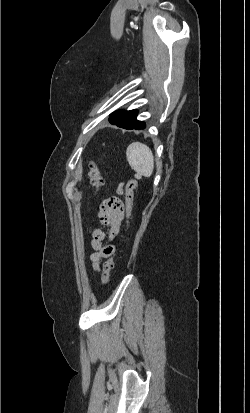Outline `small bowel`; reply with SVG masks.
<instances>
[{"label":"small bowel","instance_id":"obj_1","mask_svg":"<svg viewBox=\"0 0 250 413\" xmlns=\"http://www.w3.org/2000/svg\"><path fill=\"white\" fill-rule=\"evenodd\" d=\"M118 193H122V186L118 188ZM124 216V205L118 198L108 199L98 213V219L106 227V231L95 228L92 232L90 246L93 252L89 256L94 271L100 270V264L103 259L110 257L115 253V247L112 244H105L107 238L114 239L119 231Z\"/></svg>","mask_w":250,"mask_h":413}]
</instances>
